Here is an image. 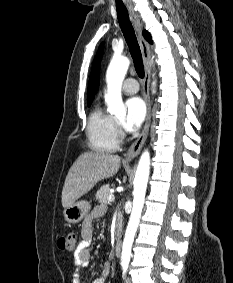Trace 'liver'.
Here are the masks:
<instances>
[{
    "label": "liver",
    "mask_w": 233,
    "mask_h": 283,
    "mask_svg": "<svg viewBox=\"0 0 233 283\" xmlns=\"http://www.w3.org/2000/svg\"><path fill=\"white\" fill-rule=\"evenodd\" d=\"M121 163L118 155L105 152H84L71 166L62 190V206L72 205L99 181L114 176Z\"/></svg>",
    "instance_id": "6515ba94"
}]
</instances>
